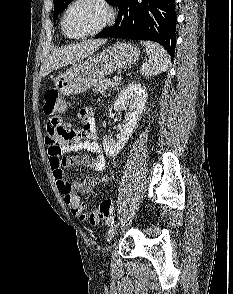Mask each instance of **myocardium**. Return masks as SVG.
Here are the masks:
<instances>
[{
  "instance_id": "myocardium-1",
  "label": "myocardium",
  "mask_w": 233,
  "mask_h": 294,
  "mask_svg": "<svg viewBox=\"0 0 233 294\" xmlns=\"http://www.w3.org/2000/svg\"><path fill=\"white\" fill-rule=\"evenodd\" d=\"M85 1H91V2H94V3H97L98 5H100L105 11V18H104L103 22L98 27L93 29L92 31H89V32L82 34V35H72L66 29L67 15L75 5H77L81 2H85ZM115 19H116V10H115L114 6L108 0H73L66 7V9L62 15L61 29H62V32L64 33L65 36L72 38V39L81 40V39H86V38L98 35L102 31H104L106 28L111 26L114 23Z\"/></svg>"
}]
</instances>
